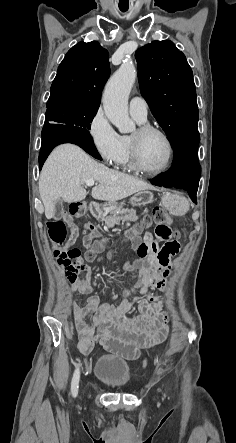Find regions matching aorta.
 Masks as SVG:
<instances>
[{
	"label": "aorta",
	"mask_w": 236,
	"mask_h": 443,
	"mask_svg": "<svg viewBox=\"0 0 236 443\" xmlns=\"http://www.w3.org/2000/svg\"><path fill=\"white\" fill-rule=\"evenodd\" d=\"M136 77L133 63L127 61L112 75L104 90L105 115L120 133H130L135 129L128 114V98Z\"/></svg>",
	"instance_id": "762f6f07"
}]
</instances>
